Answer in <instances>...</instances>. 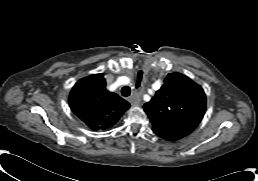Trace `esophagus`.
Segmentation results:
<instances>
[{"instance_id":"esophagus-1","label":"esophagus","mask_w":258,"mask_h":181,"mask_svg":"<svg viewBox=\"0 0 258 181\" xmlns=\"http://www.w3.org/2000/svg\"><path fill=\"white\" fill-rule=\"evenodd\" d=\"M130 102L133 104V105H140L141 103V99L140 97L138 96L137 93L133 94L131 97H130Z\"/></svg>"}]
</instances>
